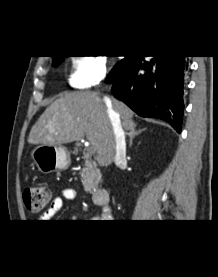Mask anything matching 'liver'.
Here are the masks:
<instances>
[{
  "label": "liver",
  "instance_id": "6515ba94",
  "mask_svg": "<svg viewBox=\"0 0 218 277\" xmlns=\"http://www.w3.org/2000/svg\"><path fill=\"white\" fill-rule=\"evenodd\" d=\"M110 101L122 120V127L134 128L132 110L117 99ZM106 104L95 92L64 93L40 116L30 131L28 142L61 146L80 141L86 135L97 153L99 165L108 166L114 160L115 138Z\"/></svg>",
  "mask_w": 218,
  "mask_h": 277
}]
</instances>
